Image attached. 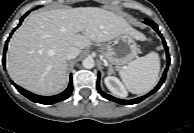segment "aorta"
<instances>
[{"instance_id": "762f6f07", "label": "aorta", "mask_w": 194, "mask_h": 133, "mask_svg": "<svg viewBox=\"0 0 194 133\" xmlns=\"http://www.w3.org/2000/svg\"><path fill=\"white\" fill-rule=\"evenodd\" d=\"M82 65L84 68L86 69H91L94 67L95 65V62H94V59L91 58V57H87L85 58L83 61H82Z\"/></svg>"}]
</instances>
